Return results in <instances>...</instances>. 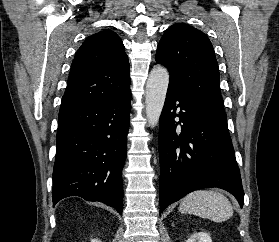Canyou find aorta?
Here are the masks:
<instances>
[{"instance_id": "762f6f07", "label": "aorta", "mask_w": 279, "mask_h": 242, "mask_svg": "<svg viewBox=\"0 0 279 242\" xmlns=\"http://www.w3.org/2000/svg\"><path fill=\"white\" fill-rule=\"evenodd\" d=\"M169 84V73L166 68L154 67L146 83V116L149 125L153 128L158 124L166 92Z\"/></svg>"}]
</instances>
